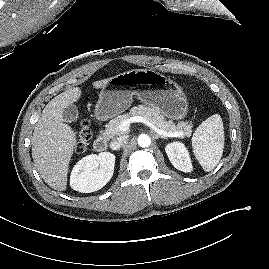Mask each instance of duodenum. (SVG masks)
<instances>
[{
	"label": "duodenum",
	"mask_w": 269,
	"mask_h": 269,
	"mask_svg": "<svg viewBox=\"0 0 269 269\" xmlns=\"http://www.w3.org/2000/svg\"><path fill=\"white\" fill-rule=\"evenodd\" d=\"M108 144V138L105 134L101 133L99 136L95 139L93 143V147L96 151L101 152L104 151Z\"/></svg>",
	"instance_id": "410a0bca"
}]
</instances>
